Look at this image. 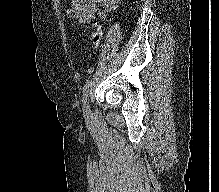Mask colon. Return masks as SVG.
<instances>
[{"label":"colon","mask_w":219,"mask_h":192,"mask_svg":"<svg viewBox=\"0 0 219 192\" xmlns=\"http://www.w3.org/2000/svg\"><path fill=\"white\" fill-rule=\"evenodd\" d=\"M91 44L93 49H98L101 46L102 32L99 26L96 24L92 27L91 32Z\"/></svg>","instance_id":"obj_1"}]
</instances>
